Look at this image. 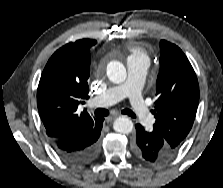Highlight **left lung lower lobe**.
I'll return each mask as SVG.
<instances>
[{
    "label": "left lung lower lobe",
    "instance_id": "0a47b994",
    "mask_svg": "<svg viewBox=\"0 0 223 188\" xmlns=\"http://www.w3.org/2000/svg\"><path fill=\"white\" fill-rule=\"evenodd\" d=\"M133 151L147 162L165 161L175 154L159 131L154 128L147 131L140 124H136V141Z\"/></svg>",
    "mask_w": 223,
    "mask_h": 188
}]
</instances>
